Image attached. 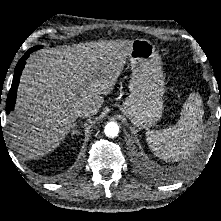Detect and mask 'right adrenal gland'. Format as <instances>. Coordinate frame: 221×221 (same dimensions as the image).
Returning a JSON list of instances; mask_svg holds the SVG:
<instances>
[{
	"label": "right adrenal gland",
	"instance_id": "right-adrenal-gland-1",
	"mask_svg": "<svg viewBox=\"0 0 221 221\" xmlns=\"http://www.w3.org/2000/svg\"><path fill=\"white\" fill-rule=\"evenodd\" d=\"M72 135H80V132L78 131L77 129V123H74L73 126H72Z\"/></svg>",
	"mask_w": 221,
	"mask_h": 221
}]
</instances>
